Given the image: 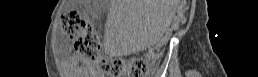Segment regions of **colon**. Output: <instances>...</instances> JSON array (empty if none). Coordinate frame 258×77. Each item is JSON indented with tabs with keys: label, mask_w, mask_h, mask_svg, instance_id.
Listing matches in <instances>:
<instances>
[{
	"label": "colon",
	"mask_w": 258,
	"mask_h": 77,
	"mask_svg": "<svg viewBox=\"0 0 258 77\" xmlns=\"http://www.w3.org/2000/svg\"><path fill=\"white\" fill-rule=\"evenodd\" d=\"M61 24L64 33L74 39V47L78 56L94 60L99 71L111 74L126 71L131 77H143L148 73L149 65L143 58L124 60L101 55L98 34L92 24L83 20L77 12L65 13Z\"/></svg>",
	"instance_id": "5ec220e1"
}]
</instances>
